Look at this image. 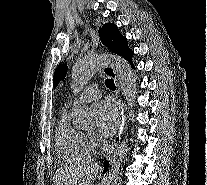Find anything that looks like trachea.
<instances>
[{
	"instance_id": "3493384b",
	"label": "trachea",
	"mask_w": 207,
	"mask_h": 185,
	"mask_svg": "<svg viewBox=\"0 0 207 185\" xmlns=\"http://www.w3.org/2000/svg\"><path fill=\"white\" fill-rule=\"evenodd\" d=\"M106 85H107V87L110 88L111 90H115V85H114L113 80H111V79L106 80Z\"/></svg>"
}]
</instances>
